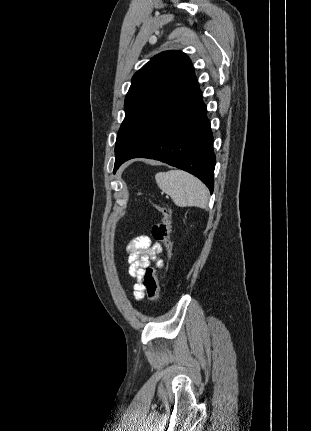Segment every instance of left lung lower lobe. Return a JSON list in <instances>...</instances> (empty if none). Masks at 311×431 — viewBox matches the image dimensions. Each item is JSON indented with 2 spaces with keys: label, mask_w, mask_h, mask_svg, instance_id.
Segmentation results:
<instances>
[{
  "label": "left lung lower lobe",
  "mask_w": 311,
  "mask_h": 431,
  "mask_svg": "<svg viewBox=\"0 0 311 431\" xmlns=\"http://www.w3.org/2000/svg\"><path fill=\"white\" fill-rule=\"evenodd\" d=\"M206 113L194 76L164 104L130 147L115 156L114 172L132 158L156 159L195 175L212 193L216 159Z\"/></svg>",
  "instance_id": "1"
}]
</instances>
